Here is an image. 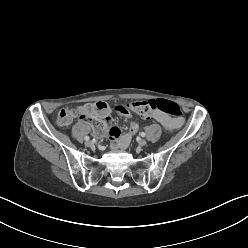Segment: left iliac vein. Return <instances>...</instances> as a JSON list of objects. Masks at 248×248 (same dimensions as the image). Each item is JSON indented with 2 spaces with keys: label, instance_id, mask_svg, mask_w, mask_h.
<instances>
[{
  "label": "left iliac vein",
  "instance_id": "1",
  "mask_svg": "<svg viewBox=\"0 0 248 248\" xmlns=\"http://www.w3.org/2000/svg\"><path fill=\"white\" fill-rule=\"evenodd\" d=\"M147 145V141L145 139L139 140V146L144 147Z\"/></svg>",
  "mask_w": 248,
  "mask_h": 248
}]
</instances>
